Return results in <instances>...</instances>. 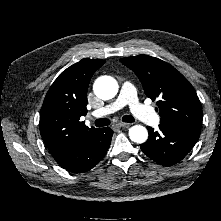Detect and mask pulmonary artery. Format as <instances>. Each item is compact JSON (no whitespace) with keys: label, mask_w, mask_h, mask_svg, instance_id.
<instances>
[{"label":"pulmonary artery","mask_w":221,"mask_h":221,"mask_svg":"<svg viewBox=\"0 0 221 221\" xmlns=\"http://www.w3.org/2000/svg\"><path fill=\"white\" fill-rule=\"evenodd\" d=\"M126 105L129 106L131 113L138 120L151 126L159 124V116L151 108L138 101L135 87L130 82L123 83L119 96L114 102L95 110L92 112V116L103 117L120 110Z\"/></svg>","instance_id":"e3ab8cb5"}]
</instances>
